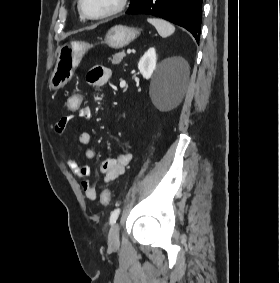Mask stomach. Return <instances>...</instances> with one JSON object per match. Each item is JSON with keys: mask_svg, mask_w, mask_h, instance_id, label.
Wrapping results in <instances>:
<instances>
[{"mask_svg": "<svg viewBox=\"0 0 280 283\" xmlns=\"http://www.w3.org/2000/svg\"><path fill=\"white\" fill-rule=\"evenodd\" d=\"M141 29L124 25H115L108 30L104 43L111 48L119 49L130 44L140 35ZM92 45L83 41H70L61 45L54 71L49 80V88L58 90L73 77L82 57Z\"/></svg>", "mask_w": 280, "mask_h": 283, "instance_id": "stomach-1", "label": "stomach"}]
</instances>
